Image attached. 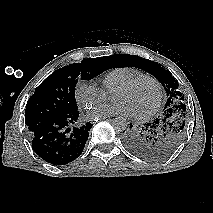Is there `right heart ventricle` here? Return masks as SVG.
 I'll return each instance as SVG.
<instances>
[{
    "label": "right heart ventricle",
    "instance_id": "1",
    "mask_svg": "<svg viewBox=\"0 0 213 213\" xmlns=\"http://www.w3.org/2000/svg\"><path fill=\"white\" fill-rule=\"evenodd\" d=\"M144 75L146 74L138 68L123 66L105 73L101 77V82L106 92H112L117 87Z\"/></svg>",
    "mask_w": 213,
    "mask_h": 213
}]
</instances>
